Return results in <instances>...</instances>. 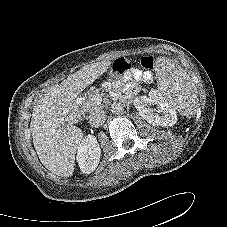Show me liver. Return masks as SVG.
<instances>
[{
    "mask_svg": "<svg viewBox=\"0 0 227 227\" xmlns=\"http://www.w3.org/2000/svg\"><path fill=\"white\" fill-rule=\"evenodd\" d=\"M111 65L104 60L88 64L68 76L61 85L51 86L33 107L30 123L33 144L41 163L50 172L70 177L82 130L67 125L79 93L102 76Z\"/></svg>",
    "mask_w": 227,
    "mask_h": 227,
    "instance_id": "obj_1",
    "label": "liver"
}]
</instances>
